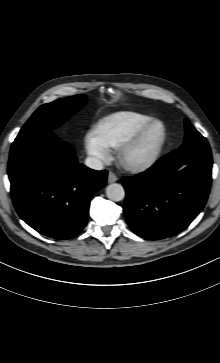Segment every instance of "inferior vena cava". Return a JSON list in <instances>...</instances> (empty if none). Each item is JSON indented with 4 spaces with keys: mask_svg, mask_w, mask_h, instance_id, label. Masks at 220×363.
I'll use <instances>...</instances> for the list:
<instances>
[{
    "mask_svg": "<svg viewBox=\"0 0 220 363\" xmlns=\"http://www.w3.org/2000/svg\"><path fill=\"white\" fill-rule=\"evenodd\" d=\"M85 165L91 169L94 170H102L103 169V163L101 160L95 157H88L85 160Z\"/></svg>",
    "mask_w": 220,
    "mask_h": 363,
    "instance_id": "inferior-vena-cava-1",
    "label": "inferior vena cava"
}]
</instances>
